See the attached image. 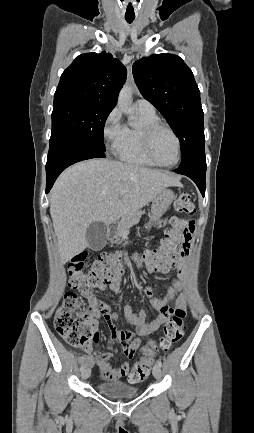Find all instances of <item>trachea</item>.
Instances as JSON below:
<instances>
[{
  "instance_id": "obj_1",
  "label": "trachea",
  "mask_w": 254,
  "mask_h": 433,
  "mask_svg": "<svg viewBox=\"0 0 254 433\" xmlns=\"http://www.w3.org/2000/svg\"><path fill=\"white\" fill-rule=\"evenodd\" d=\"M128 23H132L134 18H125Z\"/></svg>"
}]
</instances>
